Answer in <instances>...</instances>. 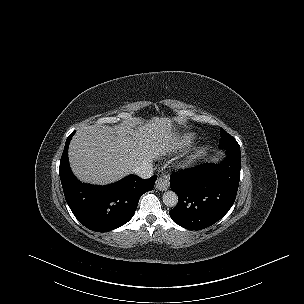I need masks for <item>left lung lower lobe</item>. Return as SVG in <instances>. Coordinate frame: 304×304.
I'll list each match as a JSON object with an SVG mask.
<instances>
[{"label": "left lung lower lobe", "mask_w": 304, "mask_h": 304, "mask_svg": "<svg viewBox=\"0 0 304 304\" xmlns=\"http://www.w3.org/2000/svg\"><path fill=\"white\" fill-rule=\"evenodd\" d=\"M225 151L227 158L220 164L205 163L170 177V187L179 200L169 214L178 225L201 230L232 207L240 181V148Z\"/></svg>", "instance_id": "0a47b994"}]
</instances>
